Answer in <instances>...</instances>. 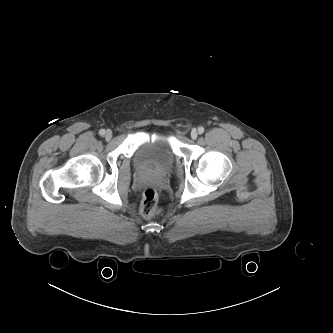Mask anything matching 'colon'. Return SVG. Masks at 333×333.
Listing matches in <instances>:
<instances>
[{
  "label": "colon",
  "mask_w": 333,
  "mask_h": 333,
  "mask_svg": "<svg viewBox=\"0 0 333 333\" xmlns=\"http://www.w3.org/2000/svg\"><path fill=\"white\" fill-rule=\"evenodd\" d=\"M140 213L145 219H151L160 213L158 195L153 188H147L144 191L140 205Z\"/></svg>",
  "instance_id": "1"
}]
</instances>
